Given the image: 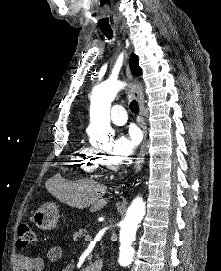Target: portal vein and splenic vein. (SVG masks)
<instances>
[{
  "label": "portal vein and splenic vein",
  "mask_w": 221,
  "mask_h": 271,
  "mask_svg": "<svg viewBox=\"0 0 221 271\" xmlns=\"http://www.w3.org/2000/svg\"><path fill=\"white\" fill-rule=\"evenodd\" d=\"M91 238H92L91 234H86L84 240H85V242H90Z\"/></svg>",
  "instance_id": "portal-vein-and-splenic-vein-1"
}]
</instances>
